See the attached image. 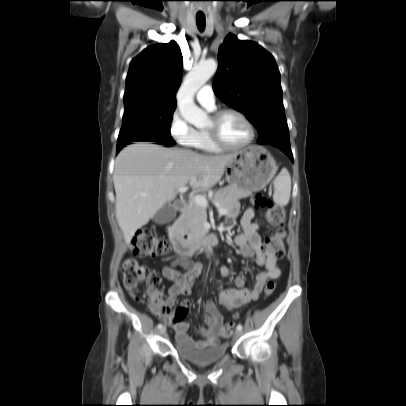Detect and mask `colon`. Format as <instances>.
Returning a JSON list of instances; mask_svg holds the SVG:
<instances>
[{
    "instance_id": "obj_1",
    "label": "colon",
    "mask_w": 406,
    "mask_h": 406,
    "mask_svg": "<svg viewBox=\"0 0 406 406\" xmlns=\"http://www.w3.org/2000/svg\"><path fill=\"white\" fill-rule=\"evenodd\" d=\"M251 202L254 206L266 208L265 218L268 223L278 229L269 237L267 241L268 248L274 252L277 258H281L284 253V237L285 232L282 229L284 225V211L281 207L274 206L269 198L262 194H256L252 197ZM132 251L139 257H154L162 255L170 250V245L167 241L157 237L149 228H143L137 231L131 240ZM122 283L124 288L129 292H136L138 288L147 284L150 286L148 295L155 291L153 288L159 282L157 271L149 269L141 265L137 260L129 258L122 263ZM275 291V283L269 281L264 289L265 296H270ZM160 297V293L157 292ZM187 310L178 308L174 317V321L183 320ZM235 320L226 322L220 329V336L223 338L229 337L234 328Z\"/></svg>"
}]
</instances>
